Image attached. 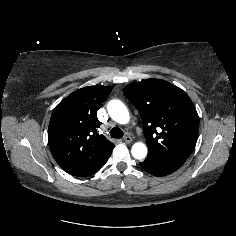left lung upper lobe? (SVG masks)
<instances>
[{"mask_svg":"<svg viewBox=\"0 0 236 236\" xmlns=\"http://www.w3.org/2000/svg\"><path fill=\"white\" fill-rule=\"evenodd\" d=\"M144 123L149 158L185 162L193 152L199 118L189 96L160 79L134 82L123 89Z\"/></svg>","mask_w":236,"mask_h":236,"instance_id":"1","label":"left lung upper lobe"}]
</instances>
